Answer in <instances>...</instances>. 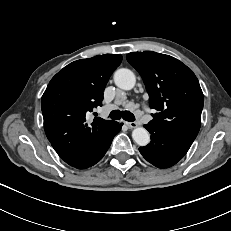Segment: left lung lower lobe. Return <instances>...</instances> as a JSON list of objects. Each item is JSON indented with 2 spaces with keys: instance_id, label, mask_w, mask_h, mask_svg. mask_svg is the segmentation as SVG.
Instances as JSON below:
<instances>
[{
  "instance_id": "left-lung-lower-lobe-1",
  "label": "left lung lower lobe",
  "mask_w": 231,
  "mask_h": 231,
  "mask_svg": "<svg viewBox=\"0 0 231 231\" xmlns=\"http://www.w3.org/2000/svg\"><path fill=\"white\" fill-rule=\"evenodd\" d=\"M151 133V142L139 151L151 164L159 168H168L180 161L187 153L191 145H188L159 128L152 125H144Z\"/></svg>"
}]
</instances>
